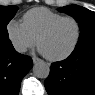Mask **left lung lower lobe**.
I'll return each mask as SVG.
<instances>
[{
  "instance_id": "left-lung-lower-lobe-1",
  "label": "left lung lower lobe",
  "mask_w": 95,
  "mask_h": 95,
  "mask_svg": "<svg viewBox=\"0 0 95 95\" xmlns=\"http://www.w3.org/2000/svg\"><path fill=\"white\" fill-rule=\"evenodd\" d=\"M45 88L49 95H95V39L76 46L66 60L53 63Z\"/></svg>"
}]
</instances>
